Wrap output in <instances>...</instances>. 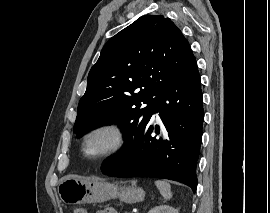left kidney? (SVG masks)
<instances>
[{"label":"left kidney","instance_id":"left-kidney-1","mask_svg":"<svg viewBox=\"0 0 270 213\" xmlns=\"http://www.w3.org/2000/svg\"><path fill=\"white\" fill-rule=\"evenodd\" d=\"M148 213H178V210L168 205H160L152 208Z\"/></svg>","mask_w":270,"mask_h":213}]
</instances>
